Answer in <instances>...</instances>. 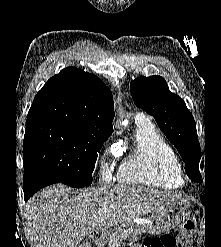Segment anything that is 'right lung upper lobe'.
I'll list each match as a JSON object with an SVG mask.
<instances>
[{
  "label": "right lung upper lobe",
  "mask_w": 221,
  "mask_h": 247,
  "mask_svg": "<svg viewBox=\"0 0 221 247\" xmlns=\"http://www.w3.org/2000/svg\"><path fill=\"white\" fill-rule=\"evenodd\" d=\"M113 118L109 88L94 74L67 67L51 77L35 96L26 129L68 127L109 137Z\"/></svg>",
  "instance_id": "obj_1"
}]
</instances>
